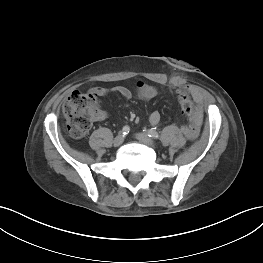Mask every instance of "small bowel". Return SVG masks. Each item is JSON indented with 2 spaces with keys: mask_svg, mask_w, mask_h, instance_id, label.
Wrapping results in <instances>:
<instances>
[{
  "mask_svg": "<svg viewBox=\"0 0 263 263\" xmlns=\"http://www.w3.org/2000/svg\"><path fill=\"white\" fill-rule=\"evenodd\" d=\"M188 90L191 92L197 107H196V117L199 122L198 129L196 133L191 134V131L187 128L182 129V134H185V138L189 140H197L199 139V136L203 134V129H204V118H203V113H202V95L198 90H195L193 88H188ZM93 92L97 93L98 96H104L108 92H114L119 94L125 99H130L133 96L132 91L125 87V86H115L111 89H107L104 87H95L92 89ZM134 94L137 98L141 100H150L158 96L159 91L155 86L143 83V82H138L135 86ZM99 117H103V115H99ZM161 116L160 113L157 111H154L150 114L149 116V121L152 125H157L160 122Z\"/></svg>",
  "mask_w": 263,
  "mask_h": 263,
  "instance_id": "small-bowel-1",
  "label": "small bowel"
}]
</instances>
